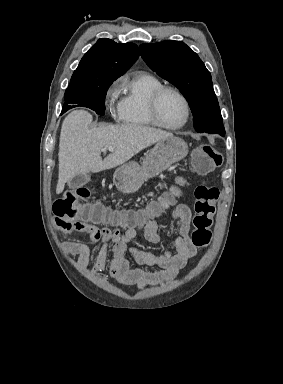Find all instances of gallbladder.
<instances>
[{"instance_id": "bac80fb5", "label": "gallbladder", "mask_w": 283, "mask_h": 384, "mask_svg": "<svg viewBox=\"0 0 283 384\" xmlns=\"http://www.w3.org/2000/svg\"><path fill=\"white\" fill-rule=\"evenodd\" d=\"M88 182H90V178L84 174V176H75V178H72V180L68 182V186L72 190L73 186H80L82 188V186H85Z\"/></svg>"}]
</instances>
